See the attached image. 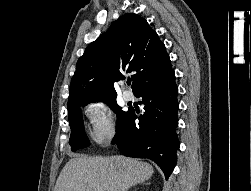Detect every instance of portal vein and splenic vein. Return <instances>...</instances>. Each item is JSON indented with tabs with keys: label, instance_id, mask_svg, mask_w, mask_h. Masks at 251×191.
Masks as SVG:
<instances>
[{
	"label": "portal vein and splenic vein",
	"instance_id": "obj_1",
	"mask_svg": "<svg viewBox=\"0 0 251 191\" xmlns=\"http://www.w3.org/2000/svg\"><path fill=\"white\" fill-rule=\"evenodd\" d=\"M95 191H103V189H101V187H99V185H96Z\"/></svg>",
	"mask_w": 251,
	"mask_h": 191
}]
</instances>
